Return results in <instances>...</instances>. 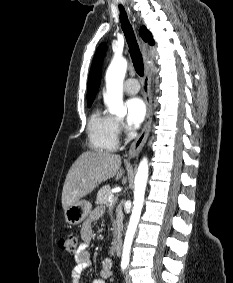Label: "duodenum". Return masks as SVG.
Returning a JSON list of instances; mask_svg holds the SVG:
<instances>
[{
    "label": "duodenum",
    "instance_id": "410a0bca",
    "mask_svg": "<svg viewBox=\"0 0 233 283\" xmlns=\"http://www.w3.org/2000/svg\"><path fill=\"white\" fill-rule=\"evenodd\" d=\"M121 250H122V242L121 240L118 238L115 242V253L116 255H120L121 254Z\"/></svg>",
    "mask_w": 233,
    "mask_h": 283
}]
</instances>
